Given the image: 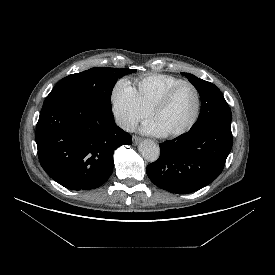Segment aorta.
<instances>
[{"label": "aorta", "mask_w": 275, "mask_h": 275, "mask_svg": "<svg viewBox=\"0 0 275 275\" xmlns=\"http://www.w3.org/2000/svg\"><path fill=\"white\" fill-rule=\"evenodd\" d=\"M140 154L149 162H155L160 155L159 146L152 140H144L138 148Z\"/></svg>", "instance_id": "1"}]
</instances>
